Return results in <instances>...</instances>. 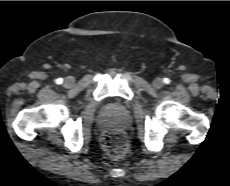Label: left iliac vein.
Listing matches in <instances>:
<instances>
[{"label": "left iliac vein", "instance_id": "1", "mask_svg": "<svg viewBox=\"0 0 230 186\" xmlns=\"http://www.w3.org/2000/svg\"><path fill=\"white\" fill-rule=\"evenodd\" d=\"M163 80L161 78H156L153 81V86L157 89L161 88L163 86Z\"/></svg>", "mask_w": 230, "mask_h": 186}]
</instances>
